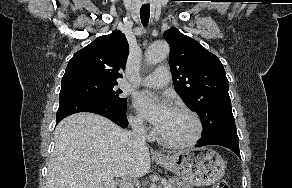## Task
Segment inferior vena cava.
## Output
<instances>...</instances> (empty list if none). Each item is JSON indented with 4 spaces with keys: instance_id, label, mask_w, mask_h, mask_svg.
Returning <instances> with one entry per match:
<instances>
[{
    "instance_id": "1",
    "label": "inferior vena cava",
    "mask_w": 292,
    "mask_h": 188,
    "mask_svg": "<svg viewBox=\"0 0 292 188\" xmlns=\"http://www.w3.org/2000/svg\"><path fill=\"white\" fill-rule=\"evenodd\" d=\"M130 125L132 130L126 134L129 145L135 148L145 146L146 130L143 121L140 119L132 120ZM119 188H134L131 177L124 175Z\"/></svg>"
}]
</instances>
